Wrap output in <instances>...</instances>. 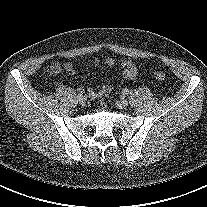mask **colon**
I'll list each match as a JSON object with an SVG mask.
<instances>
[{
	"label": "colon",
	"mask_w": 207,
	"mask_h": 207,
	"mask_svg": "<svg viewBox=\"0 0 207 207\" xmlns=\"http://www.w3.org/2000/svg\"><path fill=\"white\" fill-rule=\"evenodd\" d=\"M48 73L51 75L56 74V73H58V69L56 67L50 66L48 69ZM153 76L157 81H163L166 77V74L163 71H155L153 73Z\"/></svg>",
	"instance_id": "1"
}]
</instances>
